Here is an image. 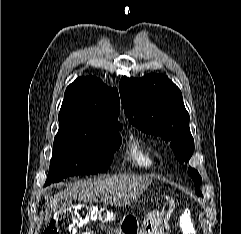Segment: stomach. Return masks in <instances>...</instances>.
I'll return each mask as SVG.
<instances>
[{"label":"stomach","instance_id":"stomach-1","mask_svg":"<svg viewBox=\"0 0 241 234\" xmlns=\"http://www.w3.org/2000/svg\"><path fill=\"white\" fill-rule=\"evenodd\" d=\"M131 231L134 234H164L162 216L157 213L149 214L144 218L142 227L139 229V221L134 216H124L120 223V234Z\"/></svg>","mask_w":241,"mask_h":234}]
</instances>
